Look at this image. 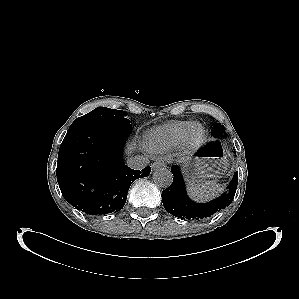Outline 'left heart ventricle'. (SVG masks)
I'll return each mask as SVG.
<instances>
[{"mask_svg": "<svg viewBox=\"0 0 299 299\" xmlns=\"http://www.w3.org/2000/svg\"><path fill=\"white\" fill-rule=\"evenodd\" d=\"M199 128L198 127H194L193 130H192V136L195 138L199 135Z\"/></svg>", "mask_w": 299, "mask_h": 299, "instance_id": "obj_1", "label": "left heart ventricle"}]
</instances>
